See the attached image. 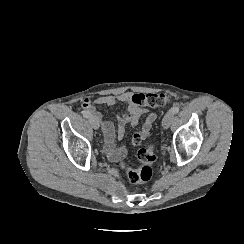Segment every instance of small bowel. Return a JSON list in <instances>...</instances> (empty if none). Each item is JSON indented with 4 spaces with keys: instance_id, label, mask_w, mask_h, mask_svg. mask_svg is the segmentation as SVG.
Instances as JSON below:
<instances>
[{
    "instance_id": "c3829d8e",
    "label": "small bowel",
    "mask_w": 244,
    "mask_h": 244,
    "mask_svg": "<svg viewBox=\"0 0 244 244\" xmlns=\"http://www.w3.org/2000/svg\"><path fill=\"white\" fill-rule=\"evenodd\" d=\"M133 96L134 94L131 92H123L118 95L100 96L95 100L84 98L81 102L83 111L88 112L100 124L105 138V151L111 156L124 155L123 150L115 151L116 137L120 140L125 137L127 125L138 126L140 125L141 118H143L139 133H142L145 138L148 136L153 123L156 121L157 117L154 113H150L146 108L136 106L133 103ZM117 102L127 104L128 111L127 114L118 118L115 127L111 120L106 119L102 113L96 110L95 105L111 107L116 105Z\"/></svg>"
}]
</instances>
